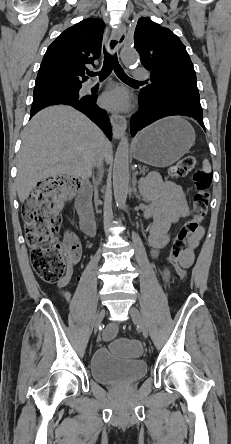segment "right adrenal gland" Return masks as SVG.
<instances>
[{
    "instance_id": "obj_1",
    "label": "right adrenal gland",
    "mask_w": 231,
    "mask_h": 444,
    "mask_svg": "<svg viewBox=\"0 0 231 444\" xmlns=\"http://www.w3.org/2000/svg\"><path fill=\"white\" fill-rule=\"evenodd\" d=\"M101 178H102V171H101V174H100V176L98 177V182H100V181H101Z\"/></svg>"
}]
</instances>
